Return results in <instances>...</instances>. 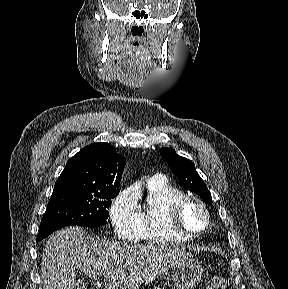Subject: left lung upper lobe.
Instances as JSON below:
<instances>
[{
    "instance_id": "5c2ea615",
    "label": "left lung upper lobe",
    "mask_w": 288,
    "mask_h": 289,
    "mask_svg": "<svg viewBox=\"0 0 288 289\" xmlns=\"http://www.w3.org/2000/svg\"><path fill=\"white\" fill-rule=\"evenodd\" d=\"M162 155L183 187L198 194L207 204L212 203L211 194L189 159L176 154L172 148H161Z\"/></svg>"
}]
</instances>
